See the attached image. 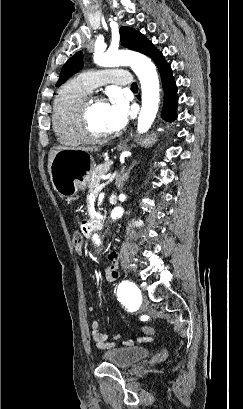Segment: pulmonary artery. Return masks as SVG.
Returning a JSON list of instances; mask_svg holds the SVG:
<instances>
[{
  "label": "pulmonary artery",
  "mask_w": 243,
  "mask_h": 409,
  "mask_svg": "<svg viewBox=\"0 0 243 409\" xmlns=\"http://www.w3.org/2000/svg\"><path fill=\"white\" fill-rule=\"evenodd\" d=\"M79 77L90 90L109 83L122 86H128L132 84L129 73L124 70L107 69L99 71H87L82 73Z\"/></svg>",
  "instance_id": "obj_1"
}]
</instances>
